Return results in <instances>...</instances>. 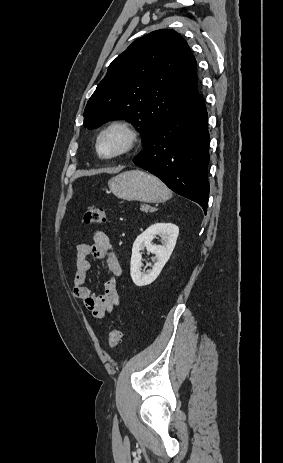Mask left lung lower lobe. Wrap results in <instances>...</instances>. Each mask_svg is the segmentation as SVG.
<instances>
[{
	"mask_svg": "<svg viewBox=\"0 0 283 463\" xmlns=\"http://www.w3.org/2000/svg\"><path fill=\"white\" fill-rule=\"evenodd\" d=\"M208 147L206 106L197 93L157 127L133 162L206 212Z\"/></svg>",
	"mask_w": 283,
	"mask_h": 463,
	"instance_id": "left-lung-lower-lobe-1",
	"label": "left lung lower lobe"
}]
</instances>
